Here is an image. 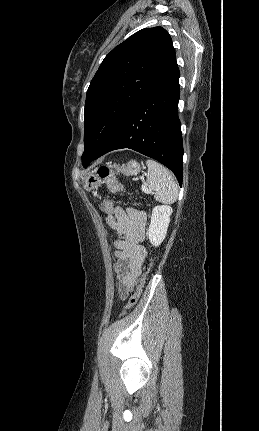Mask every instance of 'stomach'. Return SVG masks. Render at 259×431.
Listing matches in <instances>:
<instances>
[{
  "label": "stomach",
  "mask_w": 259,
  "mask_h": 431,
  "mask_svg": "<svg viewBox=\"0 0 259 431\" xmlns=\"http://www.w3.org/2000/svg\"><path fill=\"white\" fill-rule=\"evenodd\" d=\"M112 167L126 176L137 175L141 170V166L136 160H130L122 166L113 165ZM101 184L102 180L95 171L89 172L82 177V185L87 191L97 189Z\"/></svg>",
  "instance_id": "obj_1"
}]
</instances>
